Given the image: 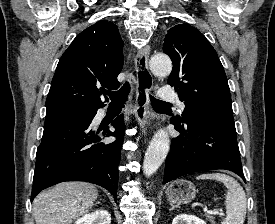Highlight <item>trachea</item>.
<instances>
[{
    "instance_id": "obj_1",
    "label": "trachea",
    "mask_w": 275,
    "mask_h": 224,
    "mask_svg": "<svg viewBox=\"0 0 275 224\" xmlns=\"http://www.w3.org/2000/svg\"><path fill=\"white\" fill-rule=\"evenodd\" d=\"M130 92V84L126 82L120 90L115 92H108V95L110 97L111 103L110 105L117 106V107H123L125 102L127 101L128 94ZM151 104L153 107H161V106H168L171 105L170 103L160 101L153 96H150Z\"/></svg>"
}]
</instances>
